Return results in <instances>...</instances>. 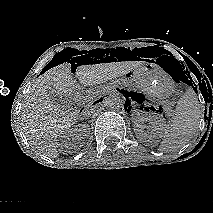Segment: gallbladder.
I'll return each mask as SVG.
<instances>
[{
    "label": "gallbladder",
    "mask_w": 213,
    "mask_h": 213,
    "mask_svg": "<svg viewBox=\"0 0 213 213\" xmlns=\"http://www.w3.org/2000/svg\"><path fill=\"white\" fill-rule=\"evenodd\" d=\"M50 99L56 103L58 106L62 108H69V99L66 97H60L57 93L52 92V90L48 91Z\"/></svg>",
    "instance_id": "1"
}]
</instances>
